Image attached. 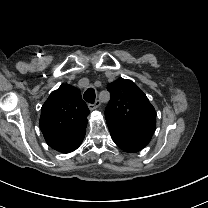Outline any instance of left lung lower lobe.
<instances>
[{
  "mask_svg": "<svg viewBox=\"0 0 208 208\" xmlns=\"http://www.w3.org/2000/svg\"><path fill=\"white\" fill-rule=\"evenodd\" d=\"M107 125L113 141L120 149L128 153L142 150L150 141L138 129L133 130L113 123H107Z\"/></svg>",
  "mask_w": 208,
  "mask_h": 208,
  "instance_id": "left-lung-lower-lobe-1",
  "label": "left lung lower lobe"
}]
</instances>
